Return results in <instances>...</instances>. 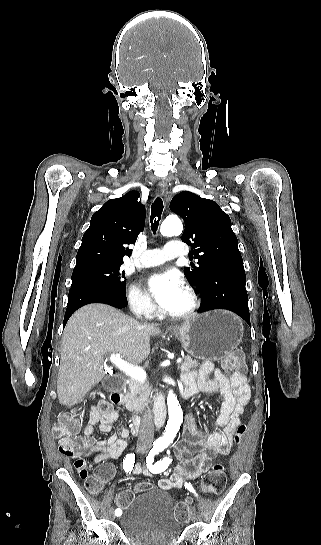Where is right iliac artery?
Returning <instances> with one entry per match:
<instances>
[{"instance_id": "1", "label": "right iliac artery", "mask_w": 321, "mask_h": 545, "mask_svg": "<svg viewBox=\"0 0 321 545\" xmlns=\"http://www.w3.org/2000/svg\"><path fill=\"white\" fill-rule=\"evenodd\" d=\"M134 460H135V454H127L126 457L123 460V468L126 473H131L134 467ZM120 510H115V515H120Z\"/></svg>"}]
</instances>
